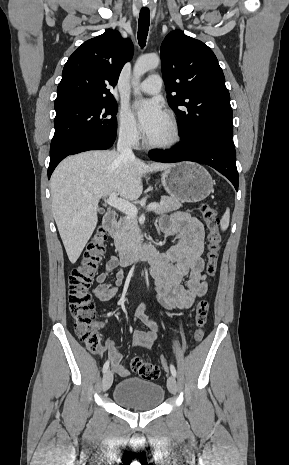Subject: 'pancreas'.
<instances>
[{
	"label": "pancreas",
	"mask_w": 289,
	"mask_h": 465,
	"mask_svg": "<svg viewBox=\"0 0 289 465\" xmlns=\"http://www.w3.org/2000/svg\"><path fill=\"white\" fill-rule=\"evenodd\" d=\"M182 207V204L168 196L161 197V203L154 210L156 214H163L178 210ZM114 244L120 251L130 249L141 240L140 230L137 225V219L132 217H124L121 219L116 227L113 234Z\"/></svg>",
	"instance_id": "pancreas-1"
}]
</instances>
